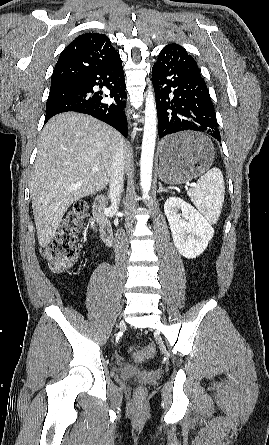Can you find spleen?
Returning a JSON list of instances; mask_svg holds the SVG:
<instances>
[{
	"mask_svg": "<svg viewBox=\"0 0 269 445\" xmlns=\"http://www.w3.org/2000/svg\"><path fill=\"white\" fill-rule=\"evenodd\" d=\"M195 207L210 224L220 216L225 196V183L221 170L213 167L203 174L195 187L187 191Z\"/></svg>",
	"mask_w": 269,
	"mask_h": 445,
	"instance_id": "spleen-1",
	"label": "spleen"
}]
</instances>
